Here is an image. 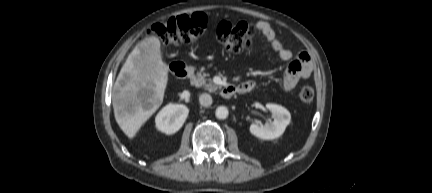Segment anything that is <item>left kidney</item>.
<instances>
[{"instance_id":"obj_1","label":"left kidney","mask_w":432,"mask_h":193,"mask_svg":"<svg viewBox=\"0 0 432 193\" xmlns=\"http://www.w3.org/2000/svg\"><path fill=\"white\" fill-rule=\"evenodd\" d=\"M266 108L272 113L273 122L265 125L251 124L250 132L260 139L272 140L284 133L291 121V115L286 108L277 104L268 103Z\"/></svg>"}]
</instances>
